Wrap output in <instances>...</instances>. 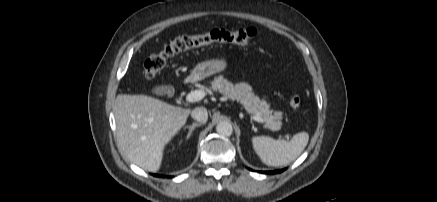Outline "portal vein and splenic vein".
I'll use <instances>...</instances> for the list:
<instances>
[{"mask_svg":"<svg viewBox=\"0 0 437 202\" xmlns=\"http://www.w3.org/2000/svg\"><path fill=\"white\" fill-rule=\"evenodd\" d=\"M204 96H205V92L202 90L191 91L190 93L187 94L186 101L191 102V103L197 102V101L202 100L204 98ZM252 119L257 121V122H260V123L264 122V119L260 116L254 115V116H252ZM287 137H289V136H287Z\"/></svg>","mask_w":437,"mask_h":202,"instance_id":"18ae733b","label":"portal vein and splenic vein"}]
</instances>
